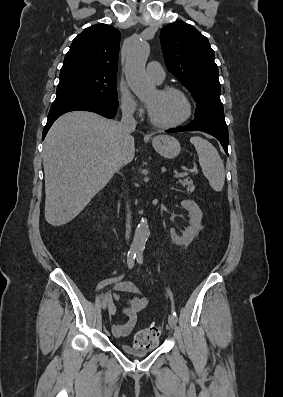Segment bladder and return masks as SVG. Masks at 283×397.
<instances>
[{"mask_svg": "<svg viewBox=\"0 0 283 397\" xmlns=\"http://www.w3.org/2000/svg\"><path fill=\"white\" fill-rule=\"evenodd\" d=\"M120 350L132 357H144L151 352H153L157 348V343H154L148 348H135L131 345L128 344H120L119 345Z\"/></svg>", "mask_w": 283, "mask_h": 397, "instance_id": "1", "label": "bladder"}]
</instances>
